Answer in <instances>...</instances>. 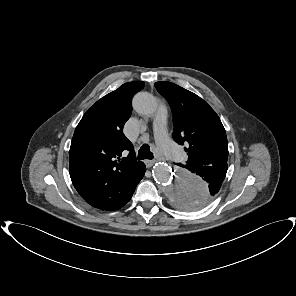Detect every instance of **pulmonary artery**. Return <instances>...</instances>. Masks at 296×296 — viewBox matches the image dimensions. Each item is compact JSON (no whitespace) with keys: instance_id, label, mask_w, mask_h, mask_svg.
Returning <instances> with one entry per match:
<instances>
[{"instance_id":"pulmonary-artery-1","label":"pulmonary artery","mask_w":296,"mask_h":296,"mask_svg":"<svg viewBox=\"0 0 296 296\" xmlns=\"http://www.w3.org/2000/svg\"><path fill=\"white\" fill-rule=\"evenodd\" d=\"M167 107L161 103L153 121L156 142L160 150L170 159L179 160L181 153L169 139L166 131Z\"/></svg>"}]
</instances>
